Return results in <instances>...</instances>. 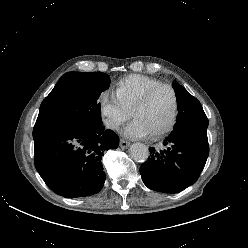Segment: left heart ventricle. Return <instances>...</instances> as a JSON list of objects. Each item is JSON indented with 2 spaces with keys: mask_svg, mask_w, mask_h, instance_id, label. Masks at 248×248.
Returning <instances> with one entry per match:
<instances>
[{
  "mask_svg": "<svg viewBox=\"0 0 248 248\" xmlns=\"http://www.w3.org/2000/svg\"><path fill=\"white\" fill-rule=\"evenodd\" d=\"M173 95L167 88L158 90L143 108L133 114L150 134L163 128L171 118Z\"/></svg>",
  "mask_w": 248,
  "mask_h": 248,
  "instance_id": "left-heart-ventricle-1",
  "label": "left heart ventricle"
}]
</instances>
